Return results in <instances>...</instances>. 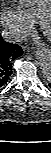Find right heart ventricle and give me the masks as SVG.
Masks as SVG:
<instances>
[{
  "label": "right heart ventricle",
  "instance_id": "obj_1",
  "mask_svg": "<svg viewBox=\"0 0 51 153\" xmlns=\"http://www.w3.org/2000/svg\"><path fill=\"white\" fill-rule=\"evenodd\" d=\"M18 8L32 23L39 21L40 17L51 8V0H18Z\"/></svg>",
  "mask_w": 51,
  "mask_h": 153
}]
</instances>
